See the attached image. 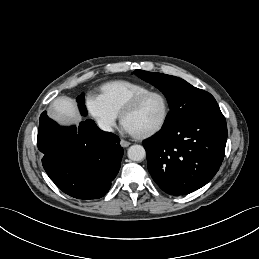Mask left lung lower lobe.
Returning a JSON list of instances; mask_svg holds the SVG:
<instances>
[{"label":"left lung lower lobe","instance_id":"obj_1","mask_svg":"<svg viewBox=\"0 0 259 259\" xmlns=\"http://www.w3.org/2000/svg\"><path fill=\"white\" fill-rule=\"evenodd\" d=\"M227 125L222 113L162 129L143 145L148 170L170 195H186L206 185L223 161Z\"/></svg>","mask_w":259,"mask_h":259}]
</instances>
